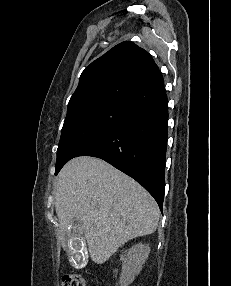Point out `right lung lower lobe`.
Wrapping results in <instances>:
<instances>
[{
    "instance_id": "right-lung-lower-lobe-1",
    "label": "right lung lower lobe",
    "mask_w": 231,
    "mask_h": 286,
    "mask_svg": "<svg viewBox=\"0 0 231 286\" xmlns=\"http://www.w3.org/2000/svg\"><path fill=\"white\" fill-rule=\"evenodd\" d=\"M131 113L86 145L77 156L98 157L139 182L163 207L167 146L164 82L129 106Z\"/></svg>"
}]
</instances>
